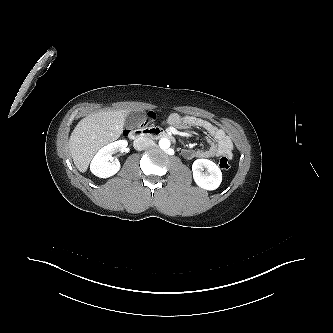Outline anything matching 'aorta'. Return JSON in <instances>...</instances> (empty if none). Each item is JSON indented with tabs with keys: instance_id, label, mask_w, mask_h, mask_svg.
Instances as JSON below:
<instances>
[{
	"instance_id": "1",
	"label": "aorta",
	"mask_w": 333,
	"mask_h": 333,
	"mask_svg": "<svg viewBox=\"0 0 333 333\" xmlns=\"http://www.w3.org/2000/svg\"><path fill=\"white\" fill-rule=\"evenodd\" d=\"M159 147L161 149H168L170 147V140L167 138H162L159 140Z\"/></svg>"
}]
</instances>
